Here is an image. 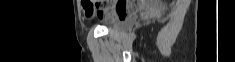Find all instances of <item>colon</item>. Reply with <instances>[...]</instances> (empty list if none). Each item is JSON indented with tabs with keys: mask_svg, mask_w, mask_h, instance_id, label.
Masks as SVG:
<instances>
[{
	"mask_svg": "<svg viewBox=\"0 0 235 62\" xmlns=\"http://www.w3.org/2000/svg\"><path fill=\"white\" fill-rule=\"evenodd\" d=\"M133 8H134V5L131 8H126L125 6L118 5L116 9L117 18L119 19L124 18L127 15V13Z\"/></svg>",
	"mask_w": 235,
	"mask_h": 62,
	"instance_id": "obj_1",
	"label": "colon"
}]
</instances>
